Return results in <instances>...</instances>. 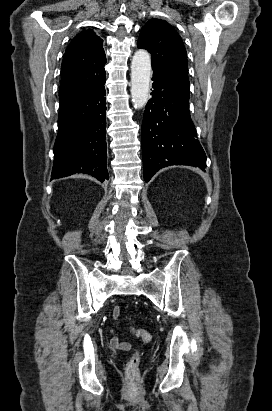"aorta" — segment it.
<instances>
[{
	"mask_svg": "<svg viewBox=\"0 0 272 411\" xmlns=\"http://www.w3.org/2000/svg\"><path fill=\"white\" fill-rule=\"evenodd\" d=\"M151 58L147 51L138 50L131 64V96L136 109L143 108L149 96Z\"/></svg>",
	"mask_w": 272,
	"mask_h": 411,
	"instance_id": "762f6f07",
	"label": "aorta"
}]
</instances>
